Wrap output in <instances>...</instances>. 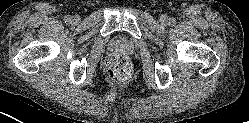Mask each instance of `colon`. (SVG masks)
Listing matches in <instances>:
<instances>
[{"label": "colon", "instance_id": "5ec220e1", "mask_svg": "<svg viewBox=\"0 0 249 123\" xmlns=\"http://www.w3.org/2000/svg\"><path fill=\"white\" fill-rule=\"evenodd\" d=\"M105 69L108 79L116 85L125 84L132 76V64L123 53L111 54L106 62Z\"/></svg>", "mask_w": 249, "mask_h": 123}]
</instances>
